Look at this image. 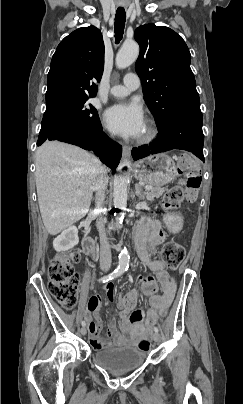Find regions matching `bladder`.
I'll use <instances>...</instances> for the list:
<instances>
[{
  "instance_id": "bladder-1",
  "label": "bladder",
  "mask_w": 243,
  "mask_h": 404,
  "mask_svg": "<svg viewBox=\"0 0 243 404\" xmlns=\"http://www.w3.org/2000/svg\"><path fill=\"white\" fill-rule=\"evenodd\" d=\"M94 359L106 371L120 374L141 367L146 361V355L138 348L124 346L98 350Z\"/></svg>"
}]
</instances>
